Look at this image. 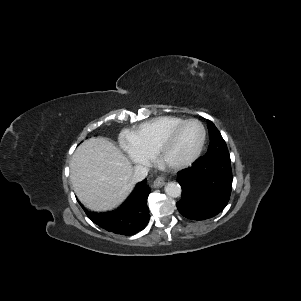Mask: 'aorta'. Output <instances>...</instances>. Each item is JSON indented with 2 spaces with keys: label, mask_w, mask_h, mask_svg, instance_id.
<instances>
[{
  "label": "aorta",
  "mask_w": 301,
  "mask_h": 301,
  "mask_svg": "<svg viewBox=\"0 0 301 301\" xmlns=\"http://www.w3.org/2000/svg\"><path fill=\"white\" fill-rule=\"evenodd\" d=\"M181 186L175 182H169L165 186V193L173 198H177L181 195Z\"/></svg>",
  "instance_id": "obj_1"
}]
</instances>
